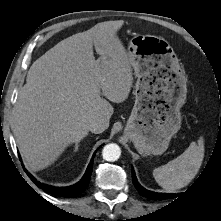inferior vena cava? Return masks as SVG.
Here are the masks:
<instances>
[{"mask_svg":"<svg viewBox=\"0 0 221 221\" xmlns=\"http://www.w3.org/2000/svg\"><path fill=\"white\" fill-rule=\"evenodd\" d=\"M106 129V125L102 120H94L89 125V130L92 133L99 134Z\"/></svg>","mask_w":221,"mask_h":221,"instance_id":"obj_1","label":"inferior vena cava"}]
</instances>
